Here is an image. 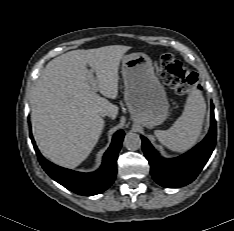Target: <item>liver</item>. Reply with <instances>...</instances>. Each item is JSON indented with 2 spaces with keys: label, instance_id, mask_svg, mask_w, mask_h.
<instances>
[{
  "label": "liver",
  "instance_id": "liver-1",
  "mask_svg": "<svg viewBox=\"0 0 234 231\" xmlns=\"http://www.w3.org/2000/svg\"><path fill=\"white\" fill-rule=\"evenodd\" d=\"M129 49L124 45L78 49L46 65L33 91L31 123L35 141L49 160L75 168L89 156L104 127L101 113L112 119L118 114V107L106 98L118 95V69ZM93 72L98 91L106 98L92 91L88 76Z\"/></svg>",
  "mask_w": 234,
  "mask_h": 231
}]
</instances>
